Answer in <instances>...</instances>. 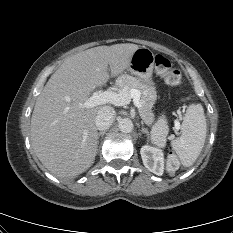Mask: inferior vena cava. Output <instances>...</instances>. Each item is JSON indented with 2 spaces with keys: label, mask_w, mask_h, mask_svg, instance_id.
<instances>
[{
  "label": "inferior vena cava",
  "mask_w": 233,
  "mask_h": 233,
  "mask_svg": "<svg viewBox=\"0 0 233 233\" xmlns=\"http://www.w3.org/2000/svg\"><path fill=\"white\" fill-rule=\"evenodd\" d=\"M115 111L112 107L104 106L102 107L96 116L95 124L98 130L104 131L108 129L115 119Z\"/></svg>",
  "instance_id": "1"
}]
</instances>
